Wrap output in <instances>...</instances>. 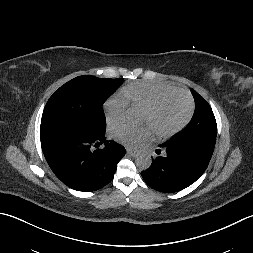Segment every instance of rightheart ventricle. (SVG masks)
<instances>
[{"label":"right heart ventricle","instance_id":"right-heart-ventricle-1","mask_svg":"<svg viewBox=\"0 0 253 253\" xmlns=\"http://www.w3.org/2000/svg\"><path fill=\"white\" fill-rule=\"evenodd\" d=\"M175 89L171 84L137 81L123 87L121 95L130 105L144 108L158 94Z\"/></svg>","mask_w":253,"mask_h":253}]
</instances>
